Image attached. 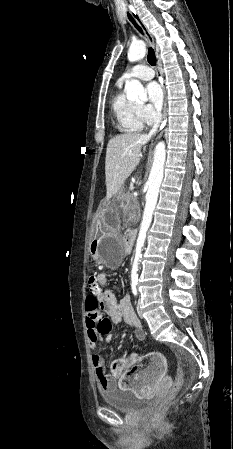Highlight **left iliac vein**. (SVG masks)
<instances>
[{
	"label": "left iliac vein",
	"mask_w": 233,
	"mask_h": 449,
	"mask_svg": "<svg viewBox=\"0 0 233 449\" xmlns=\"http://www.w3.org/2000/svg\"><path fill=\"white\" fill-rule=\"evenodd\" d=\"M140 305H141V301L138 300L137 311H138V313H139V316H142V315H141V311H140Z\"/></svg>",
	"instance_id": "1"
}]
</instances>
